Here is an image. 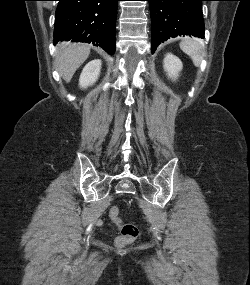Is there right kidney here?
<instances>
[{
	"instance_id": "1",
	"label": "right kidney",
	"mask_w": 250,
	"mask_h": 285,
	"mask_svg": "<svg viewBox=\"0 0 250 285\" xmlns=\"http://www.w3.org/2000/svg\"><path fill=\"white\" fill-rule=\"evenodd\" d=\"M101 64L99 59L92 60L86 64L79 78L81 88H86L96 82L100 74Z\"/></svg>"
}]
</instances>
